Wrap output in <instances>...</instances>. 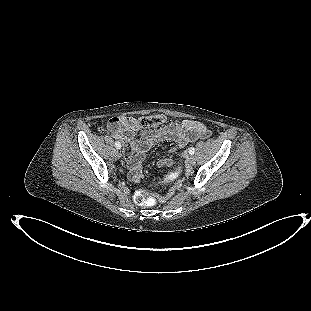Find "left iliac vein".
<instances>
[{
    "mask_svg": "<svg viewBox=\"0 0 311 311\" xmlns=\"http://www.w3.org/2000/svg\"><path fill=\"white\" fill-rule=\"evenodd\" d=\"M190 164H191V165H195V157H194V156H192V157L190 158Z\"/></svg>",
    "mask_w": 311,
    "mask_h": 311,
    "instance_id": "1",
    "label": "left iliac vein"
}]
</instances>
